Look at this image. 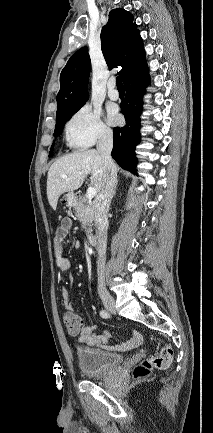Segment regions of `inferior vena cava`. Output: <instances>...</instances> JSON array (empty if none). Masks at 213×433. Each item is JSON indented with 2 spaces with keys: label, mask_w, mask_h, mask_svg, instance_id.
I'll use <instances>...</instances> for the list:
<instances>
[{
  "label": "inferior vena cava",
  "mask_w": 213,
  "mask_h": 433,
  "mask_svg": "<svg viewBox=\"0 0 213 433\" xmlns=\"http://www.w3.org/2000/svg\"><path fill=\"white\" fill-rule=\"evenodd\" d=\"M113 147V135L110 131H104L100 134L97 150L103 158L104 176L102 187L94 201L95 209V225L97 236V273H98V292H106L105 287V259L107 247V214L111 203L113 189L116 183V170L111 158V150Z\"/></svg>",
  "instance_id": "1"
}]
</instances>
